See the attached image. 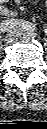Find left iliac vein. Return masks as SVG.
<instances>
[{
  "mask_svg": "<svg viewBox=\"0 0 47 129\" xmlns=\"http://www.w3.org/2000/svg\"><path fill=\"white\" fill-rule=\"evenodd\" d=\"M36 37H37L36 33L28 32V31H21V34H20V38L24 41H29Z\"/></svg>",
  "mask_w": 47,
  "mask_h": 129,
  "instance_id": "1",
  "label": "left iliac vein"
}]
</instances>
